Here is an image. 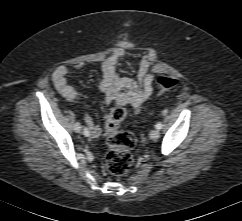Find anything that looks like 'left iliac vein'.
Segmentation results:
<instances>
[{
	"label": "left iliac vein",
	"instance_id": "4c4485c4",
	"mask_svg": "<svg viewBox=\"0 0 242 221\" xmlns=\"http://www.w3.org/2000/svg\"><path fill=\"white\" fill-rule=\"evenodd\" d=\"M149 136H150L151 139L156 140V139L159 138L160 132H159V130L157 128L153 129V130H151Z\"/></svg>",
	"mask_w": 242,
	"mask_h": 221
}]
</instances>
